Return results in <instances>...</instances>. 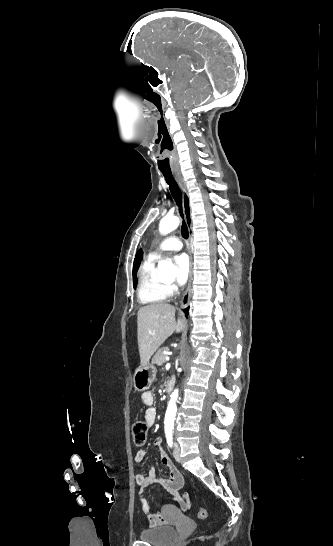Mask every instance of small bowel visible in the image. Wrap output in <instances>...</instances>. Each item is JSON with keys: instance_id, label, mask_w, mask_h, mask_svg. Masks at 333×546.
Listing matches in <instances>:
<instances>
[{"instance_id": "c3829d8e", "label": "small bowel", "mask_w": 333, "mask_h": 546, "mask_svg": "<svg viewBox=\"0 0 333 546\" xmlns=\"http://www.w3.org/2000/svg\"><path fill=\"white\" fill-rule=\"evenodd\" d=\"M141 399L144 405L147 406L145 411V423L148 426L154 425L157 417L156 409L154 408L155 397L152 392H144L141 395ZM154 447L159 450L160 460L163 466L168 468V478H158L156 471L151 467L146 474H137L135 480L139 486V499L141 501L142 509L146 513L147 519L152 526H160L166 523V514L171 512L173 508L170 505H165L161 511H152L149 504L144 497L145 490L151 485L157 484L173 496L174 502L182 509L188 507V497L178 496V490L184 484V477L182 473L174 466L169 455L163 449V442L160 437L155 438ZM146 451L139 450L135 454V461L141 463L145 460Z\"/></svg>"}]
</instances>
